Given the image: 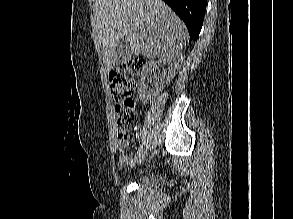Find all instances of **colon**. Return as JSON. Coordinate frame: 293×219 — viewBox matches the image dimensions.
<instances>
[{
	"label": "colon",
	"instance_id": "colon-1",
	"mask_svg": "<svg viewBox=\"0 0 293 219\" xmlns=\"http://www.w3.org/2000/svg\"><path fill=\"white\" fill-rule=\"evenodd\" d=\"M144 61L139 57L115 67L109 74L110 94L115 103L119 131L127 134L137 118V105L134 99L136 77L141 72Z\"/></svg>",
	"mask_w": 293,
	"mask_h": 219
}]
</instances>
